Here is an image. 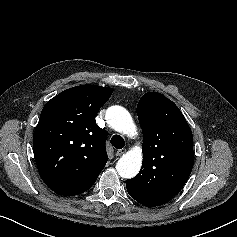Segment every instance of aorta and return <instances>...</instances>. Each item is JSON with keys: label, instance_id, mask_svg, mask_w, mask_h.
I'll return each mask as SVG.
<instances>
[{"label": "aorta", "instance_id": "1", "mask_svg": "<svg viewBox=\"0 0 237 237\" xmlns=\"http://www.w3.org/2000/svg\"><path fill=\"white\" fill-rule=\"evenodd\" d=\"M107 123L117 132L133 136L136 126L129 112L118 105L111 106L106 111ZM142 165V151L137 148L124 154L116 164L118 174L126 179L135 177Z\"/></svg>", "mask_w": 237, "mask_h": 237}]
</instances>
